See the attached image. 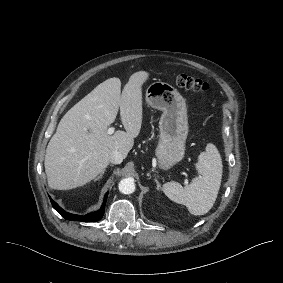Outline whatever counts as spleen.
Instances as JSON below:
<instances>
[{
    "instance_id": "obj_1",
    "label": "spleen",
    "mask_w": 283,
    "mask_h": 283,
    "mask_svg": "<svg viewBox=\"0 0 283 283\" xmlns=\"http://www.w3.org/2000/svg\"><path fill=\"white\" fill-rule=\"evenodd\" d=\"M200 177L184 188L177 182L164 184V193L173 201L185 204L193 215L208 213L220 191L223 162L215 144L209 142L205 152L199 155Z\"/></svg>"
}]
</instances>
